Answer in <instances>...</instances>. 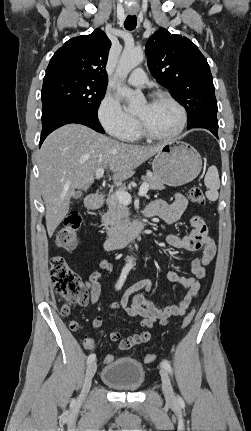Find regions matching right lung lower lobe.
I'll return each mask as SVG.
<instances>
[{
    "instance_id": "98d812e1",
    "label": "right lung lower lobe",
    "mask_w": 251,
    "mask_h": 431,
    "mask_svg": "<svg viewBox=\"0 0 251 431\" xmlns=\"http://www.w3.org/2000/svg\"><path fill=\"white\" fill-rule=\"evenodd\" d=\"M69 123L83 124L97 132L104 133L97 117L71 108H59L42 115V132L39 146L52 131Z\"/></svg>"
}]
</instances>
